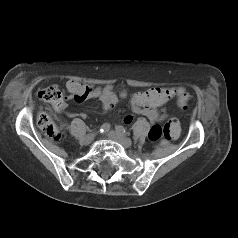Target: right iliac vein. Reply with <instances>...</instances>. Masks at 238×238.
I'll list each match as a JSON object with an SVG mask.
<instances>
[{
  "label": "right iliac vein",
  "instance_id": "1",
  "mask_svg": "<svg viewBox=\"0 0 238 238\" xmlns=\"http://www.w3.org/2000/svg\"><path fill=\"white\" fill-rule=\"evenodd\" d=\"M96 134L95 133H91L85 136V138L83 139V143L85 145H89L95 138Z\"/></svg>",
  "mask_w": 238,
  "mask_h": 238
}]
</instances>
